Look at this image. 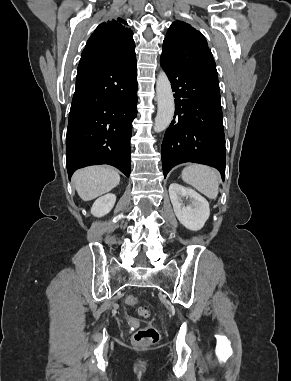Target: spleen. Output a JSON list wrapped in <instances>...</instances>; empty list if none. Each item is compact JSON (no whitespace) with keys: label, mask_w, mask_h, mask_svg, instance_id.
Returning a JSON list of instances; mask_svg holds the SVG:
<instances>
[{"label":"spleen","mask_w":291,"mask_h":381,"mask_svg":"<svg viewBox=\"0 0 291 381\" xmlns=\"http://www.w3.org/2000/svg\"><path fill=\"white\" fill-rule=\"evenodd\" d=\"M181 177L184 182L196 188L209 199H216L218 196V176L211 167L192 164L182 170Z\"/></svg>","instance_id":"obj_1"}]
</instances>
